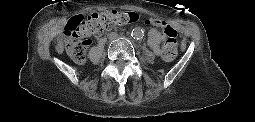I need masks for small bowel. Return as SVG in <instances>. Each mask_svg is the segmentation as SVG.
I'll return each instance as SVG.
<instances>
[{"label": "small bowel", "mask_w": 255, "mask_h": 122, "mask_svg": "<svg viewBox=\"0 0 255 122\" xmlns=\"http://www.w3.org/2000/svg\"><path fill=\"white\" fill-rule=\"evenodd\" d=\"M150 20H151L152 24L156 27L163 24L162 21L155 19V18H151ZM156 27L152 28L149 31L147 45L150 49L153 50V52L156 55H160L161 54L160 43L164 39V34L161 33Z\"/></svg>", "instance_id": "1"}]
</instances>
